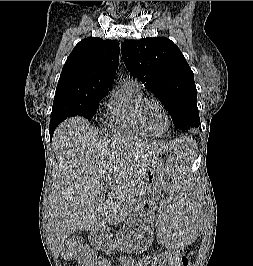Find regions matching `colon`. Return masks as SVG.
<instances>
[{"mask_svg": "<svg viewBox=\"0 0 253 266\" xmlns=\"http://www.w3.org/2000/svg\"><path fill=\"white\" fill-rule=\"evenodd\" d=\"M64 257L76 266H109L80 238H70L64 250ZM191 256L177 252H166L155 255L143 263V266H189Z\"/></svg>", "mask_w": 253, "mask_h": 266, "instance_id": "5ec220e1", "label": "colon"}]
</instances>
